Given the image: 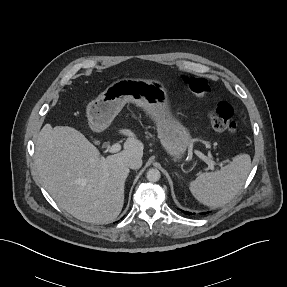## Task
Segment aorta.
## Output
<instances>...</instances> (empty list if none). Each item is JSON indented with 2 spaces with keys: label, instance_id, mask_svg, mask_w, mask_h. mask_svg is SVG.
<instances>
[{
  "label": "aorta",
  "instance_id": "obj_1",
  "mask_svg": "<svg viewBox=\"0 0 287 287\" xmlns=\"http://www.w3.org/2000/svg\"><path fill=\"white\" fill-rule=\"evenodd\" d=\"M161 177L160 171L156 168H151L147 172V179L150 182H157Z\"/></svg>",
  "mask_w": 287,
  "mask_h": 287
}]
</instances>
